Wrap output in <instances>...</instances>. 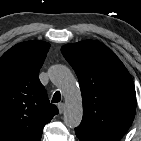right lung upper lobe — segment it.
Wrapping results in <instances>:
<instances>
[{"instance_id":"cb5924a9","label":"right lung upper lobe","mask_w":141,"mask_h":141,"mask_svg":"<svg viewBox=\"0 0 141 141\" xmlns=\"http://www.w3.org/2000/svg\"><path fill=\"white\" fill-rule=\"evenodd\" d=\"M49 48L44 41H25L0 57V141H40L59 112L38 78Z\"/></svg>"}]
</instances>
